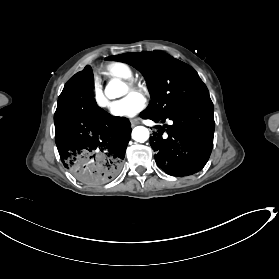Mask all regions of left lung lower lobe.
Returning <instances> with one entry per match:
<instances>
[{"label":"left lung lower lobe","instance_id":"0a47b994","mask_svg":"<svg viewBox=\"0 0 279 279\" xmlns=\"http://www.w3.org/2000/svg\"><path fill=\"white\" fill-rule=\"evenodd\" d=\"M213 112L212 101L207 98L165 117L141 113L142 118L155 122L164 123L167 118L173 121L170 126H156L158 133L150 138L155 161L163 171L187 176L204 167L213 147Z\"/></svg>","mask_w":279,"mask_h":279}]
</instances>
